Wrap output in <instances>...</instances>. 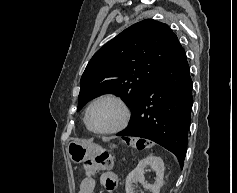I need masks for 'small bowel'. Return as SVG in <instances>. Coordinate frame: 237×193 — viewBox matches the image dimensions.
<instances>
[{
	"label": "small bowel",
	"mask_w": 237,
	"mask_h": 193,
	"mask_svg": "<svg viewBox=\"0 0 237 193\" xmlns=\"http://www.w3.org/2000/svg\"><path fill=\"white\" fill-rule=\"evenodd\" d=\"M90 160L88 162H92ZM102 183L108 193L116 192L117 176L113 172H103L101 175ZM95 181L92 177H86L82 180L78 193H94Z\"/></svg>",
	"instance_id": "obj_1"
}]
</instances>
